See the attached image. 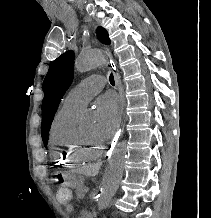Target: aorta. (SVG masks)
<instances>
[{"label":"aorta","instance_id":"1","mask_svg":"<svg viewBox=\"0 0 211 218\" xmlns=\"http://www.w3.org/2000/svg\"><path fill=\"white\" fill-rule=\"evenodd\" d=\"M105 54L101 50H90L81 53L75 60V69L79 73L87 72L103 64ZM95 119L91 113L83 115L81 122L84 127H90ZM126 159V143L120 142L109 157L108 167L104 173L101 192L97 198L100 210L106 208L115 195L123 174Z\"/></svg>","mask_w":211,"mask_h":218}]
</instances>
